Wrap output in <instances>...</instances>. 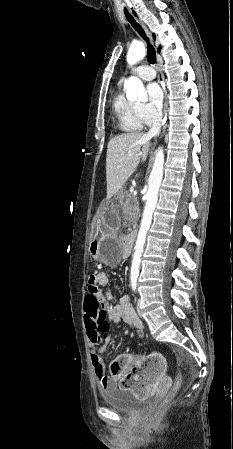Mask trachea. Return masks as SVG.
I'll return each instance as SVG.
<instances>
[{
  "mask_svg": "<svg viewBox=\"0 0 233 449\" xmlns=\"http://www.w3.org/2000/svg\"><path fill=\"white\" fill-rule=\"evenodd\" d=\"M125 16L132 27L139 33L141 37H143L147 42V61L151 64L156 62V51L154 47L150 44V42L146 38V34L142 26L133 18V16L128 12V10L124 9Z\"/></svg>",
  "mask_w": 233,
  "mask_h": 449,
  "instance_id": "obj_1",
  "label": "trachea"
}]
</instances>
